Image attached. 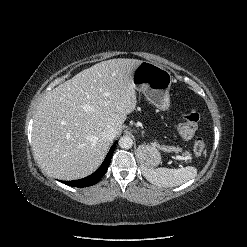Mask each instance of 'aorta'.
<instances>
[{
  "label": "aorta",
  "mask_w": 247,
  "mask_h": 247,
  "mask_svg": "<svg viewBox=\"0 0 247 247\" xmlns=\"http://www.w3.org/2000/svg\"><path fill=\"white\" fill-rule=\"evenodd\" d=\"M119 146L122 149H130L133 146V140L129 136H123L119 140Z\"/></svg>",
  "instance_id": "obj_1"
}]
</instances>
